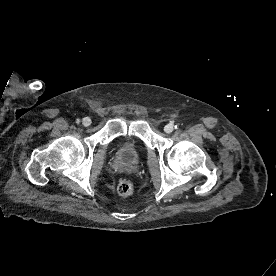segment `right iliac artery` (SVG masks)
<instances>
[{"label":"right iliac artery","instance_id":"82829eb1","mask_svg":"<svg viewBox=\"0 0 276 276\" xmlns=\"http://www.w3.org/2000/svg\"><path fill=\"white\" fill-rule=\"evenodd\" d=\"M76 123L79 124L80 123V119H76Z\"/></svg>","mask_w":276,"mask_h":276}]
</instances>
